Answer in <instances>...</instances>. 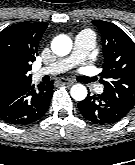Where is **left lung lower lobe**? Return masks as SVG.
Returning a JSON list of instances; mask_svg holds the SVG:
<instances>
[{"label":"left lung lower lobe","mask_w":135,"mask_h":165,"mask_svg":"<svg viewBox=\"0 0 135 165\" xmlns=\"http://www.w3.org/2000/svg\"><path fill=\"white\" fill-rule=\"evenodd\" d=\"M81 114L95 124H111L125 117L131 108L122 104L114 96L102 94L87 96L78 104Z\"/></svg>","instance_id":"left-lung-lower-lobe-1"}]
</instances>
